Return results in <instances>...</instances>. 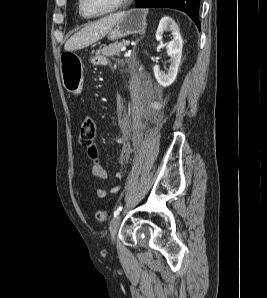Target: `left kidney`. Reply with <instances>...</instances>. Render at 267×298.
Here are the masks:
<instances>
[{"label": "left kidney", "instance_id": "1", "mask_svg": "<svg viewBox=\"0 0 267 298\" xmlns=\"http://www.w3.org/2000/svg\"><path fill=\"white\" fill-rule=\"evenodd\" d=\"M168 30L171 31L173 36V40L166 44L167 54L170 57V67L166 73L161 71L158 65L153 68L157 82L163 87H168L175 81L181 62L183 47L179 27L170 17H163L160 20L156 31L157 41H161L163 33Z\"/></svg>", "mask_w": 267, "mask_h": 298}]
</instances>
